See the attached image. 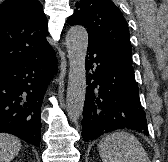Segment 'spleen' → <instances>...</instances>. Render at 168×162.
<instances>
[{"label":"spleen","mask_w":168,"mask_h":162,"mask_svg":"<svg viewBox=\"0 0 168 162\" xmlns=\"http://www.w3.org/2000/svg\"><path fill=\"white\" fill-rule=\"evenodd\" d=\"M98 150L103 162H150L138 139L125 131L106 135Z\"/></svg>","instance_id":"3e777b00"}]
</instances>
